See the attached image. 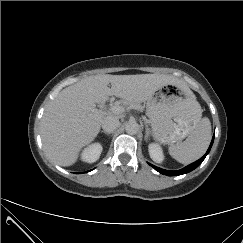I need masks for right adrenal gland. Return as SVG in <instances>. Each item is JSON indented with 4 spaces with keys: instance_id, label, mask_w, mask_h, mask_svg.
I'll list each match as a JSON object with an SVG mask.
<instances>
[{
    "instance_id": "2a0ac1e0",
    "label": "right adrenal gland",
    "mask_w": 243,
    "mask_h": 243,
    "mask_svg": "<svg viewBox=\"0 0 243 243\" xmlns=\"http://www.w3.org/2000/svg\"><path fill=\"white\" fill-rule=\"evenodd\" d=\"M101 133H104L106 135H110L111 134V132H105V131H101Z\"/></svg>"
}]
</instances>
